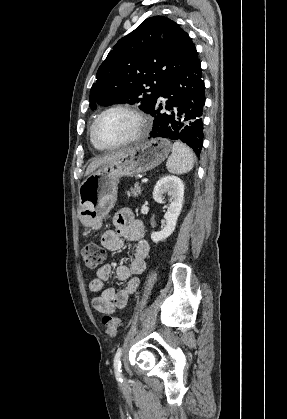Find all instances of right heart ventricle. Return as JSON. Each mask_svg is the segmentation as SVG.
<instances>
[{
    "mask_svg": "<svg viewBox=\"0 0 287 419\" xmlns=\"http://www.w3.org/2000/svg\"><path fill=\"white\" fill-rule=\"evenodd\" d=\"M90 141H91L92 145H93L96 149H99V150H104L103 148H101V147L97 146V145H96V144L92 141L91 136H90Z\"/></svg>",
    "mask_w": 287,
    "mask_h": 419,
    "instance_id": "e07e8e85",
    "label": "right heart ventricle"
}]
</instances>
